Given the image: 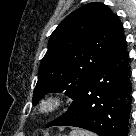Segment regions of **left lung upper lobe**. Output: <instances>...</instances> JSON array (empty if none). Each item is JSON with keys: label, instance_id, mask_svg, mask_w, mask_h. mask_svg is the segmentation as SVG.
Returning <instances> with one entry per match:
<instances>
[{"label": "left lung upper lobe", "instance_id": "obj_1", "mask_svg": "<svg viewBox=\"0 0 136 136\" xmlns=\"http://www.w3.org/2000/svg\"><path fill=\"white\" fill-rule=\"evenodd\" d=\"M121 27L118 16L102 3H88L68 15L51 34L33 102L65 90L74 99L102 64Z\"/></svg>", "mask_w": 136, "mask_h": 136}]
</instances>
